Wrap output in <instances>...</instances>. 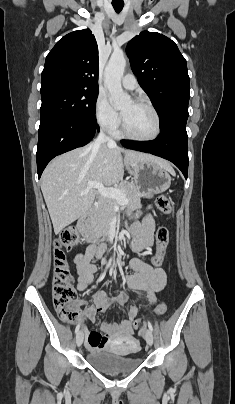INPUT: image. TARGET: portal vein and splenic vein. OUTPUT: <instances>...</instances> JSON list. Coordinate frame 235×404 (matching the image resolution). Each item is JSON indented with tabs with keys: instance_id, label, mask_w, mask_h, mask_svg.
<instances>
[{
	"instance_id": "18ae733b",
	"label": "portal vein and splenic vein",
	"mask_w": 235,
	"mask_h": 404,
	"mask_svg": "<svg viewBox=\"0 0 235 404\" xmlns=\"http://www.w3.org/2000/svg\"><path fill=\"white\" fill-rule=\"evenodd\" d=\"M88 187L97 189L103 197L116 199L122 204L128 203L127 196L118 188H106L102 183L95 181L88 182Z\"/></svg>"
}]
</instances>
